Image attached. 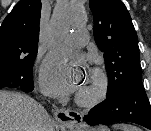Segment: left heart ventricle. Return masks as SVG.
<instances>
[{
    "mask_svg": "<svg viewBox=\"0 0 151 131\" xmlns=\"http://www.w3.org/2000/svg\"><path fill=\"white\" fill-rule=\"evenodd\" d=\"M94 87H95V80L90 75H88L84 80V82L82 83L79 89V93H83V94L90 93Z\"/></svg>",
    "mask_w": 151,
    "mask_h": 131,
    "instance_id": "1",
    "label": "left heart ventricle"
}]
</instances>
